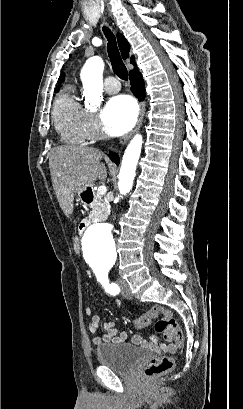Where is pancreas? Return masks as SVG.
Wrapping results in <instances>:
<instances>
[{
	"label": "pancreas",
	"mask_w": 243,
	"mask_h": 409,
	"mask_svg": "<svg viewBox=\"0 0 243 409\" xmlns=\"http://www.w3.org/2000/svg\"><path fill=\"white\" fill-rule=\"evenodd\" d=\"M91 212L89 217L92 220L104 221L109 215V208L107 203L102 199V196L95 193V201L91 205Z\"/></svg>",
	"instance_id": "obj_1"
}]
</instances>
